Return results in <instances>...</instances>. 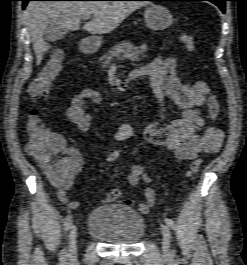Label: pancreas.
I'll return each mask as SVG.
<instances>
[{
    "label": "pancreas",
    "mask_w": 247,
    "mask_h": 265,
    "mask_svg": "<svg viewBox=\"0 0 247 265\" xmlns=\"http://www.w3.org/2000/svg\"><path fill=\"white\" fill-rule=\"evenodd\" d=\"M147 50L148 49L146 47H135L129 41H122L118 43L115 47L110 49L107 53H104V55H102V57L100 58L101 66L103 68H107L114 59H128L133 62L140 61L146 57L144 53Z\"/></svg>",
    "instance_id": "obj_1"
}]
</instances>
